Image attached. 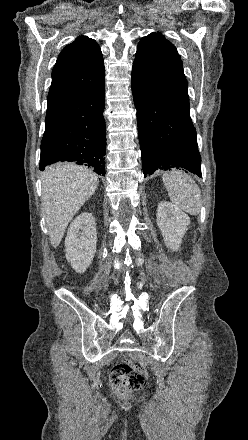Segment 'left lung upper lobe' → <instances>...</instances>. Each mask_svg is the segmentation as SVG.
Segmentation results:
<instances>
[{"label": "left lung upper lobe", "instance_id": "obj_1", "mask_svg": "<svg viewBox=\"0 0 248 440\" xmlns=\"http://www.w3.org/2000/svg\"><path fill=\"white\" fill-rule=\"evenodd\" d=\"M132 72L144 83L158 89L189 108L187 80L176 47L159 32L138 44Z\"/></svg>", "mask_w": 248, "mask_h": 440}]
</instances>
